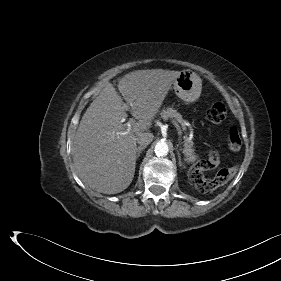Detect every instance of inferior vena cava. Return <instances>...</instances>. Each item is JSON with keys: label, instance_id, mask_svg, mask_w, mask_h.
I'll return each mask as SVG.
<instances>
[{"label": "inferior vena cava", "instance_id": "inferior-vena-cava-1", "mask_svg": "<svg viewBox=\"0 0 281 281\" xmlns=\"http://www.w3.org/2000/svg\"><path fill=\"white\" fill-rule=\"evenodd\" d=\"M153 134L150 132H142L139 133L137 136V143L141 146V147H146L148 144H150L153 141Z\"/></svg>", "mask_w": 281, "mask_h": 281}]
</instances>
